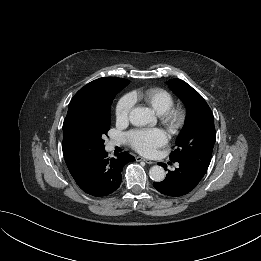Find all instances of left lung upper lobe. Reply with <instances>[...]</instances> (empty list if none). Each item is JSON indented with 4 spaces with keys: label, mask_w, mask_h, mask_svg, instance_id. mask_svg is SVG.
I'll list each match as a JSON object with an SVG mask.
<instances>
[{
    "label": "left lung upper lobe",
    "mask_w": 261,
    "mask_h": 261,
    "mask_svg": "<svg viewBox=\"0 0 261 261\" xmlns=\"http://www.w3.org/2000/svg\"><path fill=\"white\" fill-rule=\"evenodd\" d=\"M187 109L185 124L170 154L173 162H185L200 175L206 173L216 139L213 114L204 98L180 79L167 82Z\"/></svg>",
    "instance_id": "left-lung-upper-lobe-1"
}]
</instances>
